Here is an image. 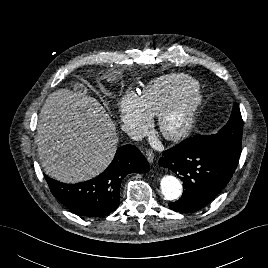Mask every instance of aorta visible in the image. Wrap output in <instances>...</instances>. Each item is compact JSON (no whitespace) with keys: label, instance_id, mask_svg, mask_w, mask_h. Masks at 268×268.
<instances>
[{"label":"aorta","instance_id":"1","mask_svg":"<svg viewBox=\"0 0 268 268\" xmlns=\"http://www.w3.org/2000/svg\"><path fill=\"white\" fill-rule=\"evenodd\" d=\"M161 192L168 200H176L182 194L181 182L172 175H165L160 181Z\"/></svg>","mask_w":268,"mask_h":268}]
</instances>
